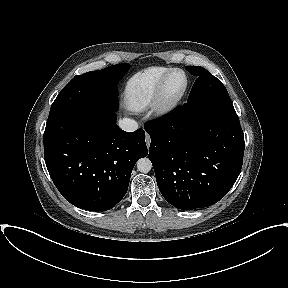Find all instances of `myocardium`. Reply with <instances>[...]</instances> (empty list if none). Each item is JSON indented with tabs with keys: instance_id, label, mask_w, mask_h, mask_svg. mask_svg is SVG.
Wrapping results in <instances>:
<instances>
[{
	"instance_id": "f54148a6",
	"label": "myocardium",
	"mask_w": 288,
	"mask_h": 288,
	"mask_svg": "<svg viewBox=\"0 0 288 288\" xmlns=\"http://www.w3.org/2000/svg\"><path fill=\"white\" fill-rule=\"evenodd\" d=\"M176 72H180L183 74L184 84L181 90L176 95L169 96L167 94V84L171 76ZM187 87H188V77L184 70L180 68H173L168 73H166V75L162 78V80L158 85V88L156 90L152 102V110L154 114H156L157 116H163L173 111L184 97L187 91Z\"/></svg>"
}]
</instances>
